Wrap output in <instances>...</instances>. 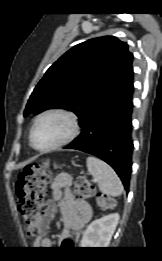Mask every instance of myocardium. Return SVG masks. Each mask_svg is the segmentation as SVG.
<instances>
[{"label": "myocardium", "instance_id": "myocardium-1", "mask_svg": "<svg viewBox=\"0 0 162 261\" xmlns=\"http://www.w3.org/2000/svg\"><path fill=\"white\" fill-rule=\"evenodd\" d=\"M51 115H59V116L66 118L69 122V131L63 138H61L59 141L55 142L54 144L44 147V148H39L34 144V139H33L34 130H35L37 124L43 118H45L47 116H51ZM79 130H80V126H79L78 117L72 111H69V110L63 109V108L48 109V110H45L42 113H40L35 118L33 125L30 129V133H29L30 145L32 146V148H34L35 150H37L39 152L52 151V150L58 149L62 146H65V145L69 144L71 141H73L79 134Z\"/></svg>", "mask_w": 162, "mask_h": 261}]
</instances>
